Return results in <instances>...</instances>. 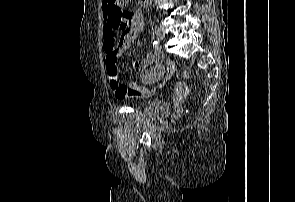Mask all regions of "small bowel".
Wrapping results in <instances>:
<instances>
[{"label": "small bowel", "mask_w": 295, "mask_h": 202, "mask_svg": "<svg viewBox=\"0 0 295 202\" xmlns=\"http://www.w3.org/2000/svg\"><path fill=\"white\" fill-rule=\"evenodd\" d=\"M127 13L129 15L128 27L121 32L118 41L116 40V32L121 28L119 27L118 18L108 14L106 11L104 13L103 47L105 51L106 72L110 87L116 97L123 99L128 94H132L143 98H149L155 95L159 89V85L155 83L161 79L165 72L167 77H171L174 68L170 61L164 65L162 53L155 50L149 52L141 62L136 64L137 68L152 65V67L141 76L142 85L133 81L126 84L120 83L122 82V77H119L118 59L129 49L144 28L143 16L140 10L134 9L127 11ZM186 86L187 81H178L174 93V98H177V102H173V107H182L183 98H185V94H187Z\"/></svg>", "instance_id": "1"}]
</instances>
